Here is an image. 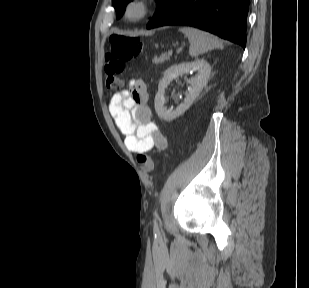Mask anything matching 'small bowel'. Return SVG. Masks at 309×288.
<instances>
[{
	"label": "small bowel",
	"mask_w": 309,
	"mask_h": 288,
	"mask_svg": "<svg viewBox=\"0 0 309 288\" xmlns=\"http://www.w3.org/2000/svg\"><path fill=\"white\" fill-rule=\"evenodd\" d=\"M109 111L130 152L166 149L167 139L152 120L148 93L142 81H132L128 89L115 93Z\"/></svg>",
	"instance_id": "1"
}]
</instances>
